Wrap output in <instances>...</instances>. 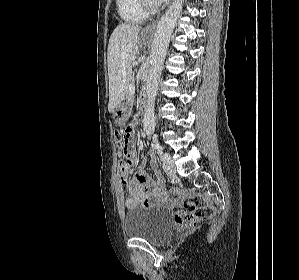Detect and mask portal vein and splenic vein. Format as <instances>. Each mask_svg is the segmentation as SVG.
<instances>
[{
	"label": "portal vein and splenic vein",
	"mask_w": 299,
	"mask_h": 280,
	"mask_svg": "<svg viewBox=\"0 0 299 280\" xmlns=\"http://www.w3.org/2000/svg\"><path fill=\"white\" fill-rule=\"evenodd\" d=\"M129 91H130V93H134V91H135V85L134 84L130 86Z\"/></svg>",
	"instance_id": "18ae733b"
}]
</instances>
